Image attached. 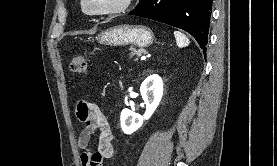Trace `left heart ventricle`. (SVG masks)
<instances>
[{
	"label": "left heart ventricle",
	"mask_w": 277,
	"mask_h": 166,
	"mask_svg": "<svg viewBox=\"0 0 277 166\" xmlns=\"http://www.w3.org/2000/svg\"><path fill=\"white\" fill-rule=\"evenodd\" d=\"M117 1L118 0H87L86 5L88 9L94 10L113 4Z\"/></svg>",
	"instance_id": "b2bd125f"
}]
</instances>
